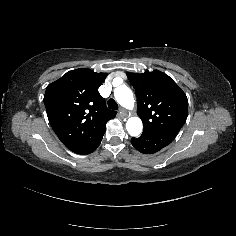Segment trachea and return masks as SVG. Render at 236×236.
Segmentation results:
<instances>
[{
    "label": "trachea",
    "instance_id": "trachea-1",
    "mask_svg": "<svg viewBox=\"0 0 236 236\" xmlns=\"http://www.w3.org/2000/svg\"><path fill=\"white\" fill-rule=\"evenodd\" d=\"M108 107L112 110H118V104L116 103V101L113 98H110L108 100Z\"/></svg>",
    "mask_w": 236,
    "mask_h": 236
}]
</instances>
